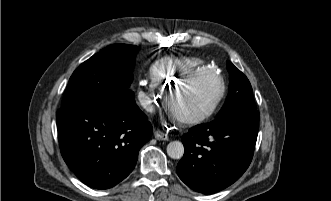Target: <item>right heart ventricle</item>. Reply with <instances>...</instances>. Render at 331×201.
Segmentation results:
<instances>
[{
  "label": "right heart ventricle",
  "instance_id": "right-heart-ventricle-1",
  "mask_svg": "<svg viewBox=\"0 0 331 201\" xmlns=\"http://www.w3.org/2000/svg\"><path fill=\"white\" fill-rule=\"evenodd\" d=\"M204 67L203 61L197 57L163 58L152 66L151 76L156 84L168 87L180 77Z\"/></svg>",
  "mask_w": 331,
  "mask_h": 201
}]
</instances>
